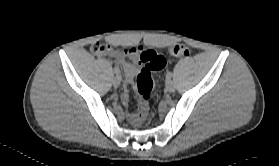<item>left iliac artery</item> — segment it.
<instances>
[{
  "label": "left iliac artery",
  "mask_w": 279,
  "mask_h": 166,
  "mask_svg": "<svg viewBox=\"0 0 279 166\" xmlns=\"http://www.w3.org/2000/svg\"><path fill=\"white\" fill-rule=\"evenodd\" d=\"M171 77H172V73H171V72H168L167 75H166V78H167L168 80H170Z\"/></svg>",
  "instance_id": "1"
}]
</instances>
